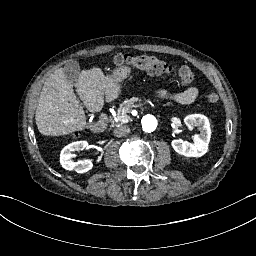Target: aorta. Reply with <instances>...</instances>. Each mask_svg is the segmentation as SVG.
I'll list each match as a JSON object with an SVG mask.
<instances>
[{"label": "aorta", "instance_id": "762f6f07", "mask_svg": "<svg viewBox=\"0 0 256 256\" xmlns=\"http://www.w3.org/2000/svg\"><path fill=\"white\" fill-rule=\"evenodd\" d=\"M157 127V120L153 116H145L141 120V128L145 132H152Z\"/></svg>", "mask_w": 256, "mask_h": 256}]
</instances>
